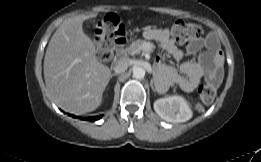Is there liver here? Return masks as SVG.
I'll list each match as a JSON object with an SVG mask.
<instances>
[{"label":"liver","instance_id":"6515ba94","mask_svg":"<svg viewBox=\"0 0 261 162\" xmlns=\"http://www.w3.org/2000/svg\"><path fill=\"white\" fill-rule=\"evenodd\" d=\"M97 13L65 20L55 31L44 58V79L54 102L64 110L85 114L97 109L111 70L96 58L93 41L82 24Z\"/></svg>","mask_w":261,"mask_h":162}]
</instances>
